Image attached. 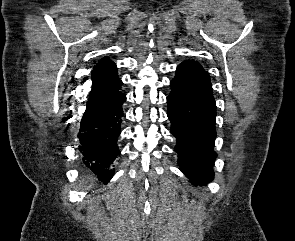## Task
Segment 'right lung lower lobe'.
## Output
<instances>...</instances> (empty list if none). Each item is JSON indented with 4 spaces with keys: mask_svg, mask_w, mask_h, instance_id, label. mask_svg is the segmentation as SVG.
<instances>
[{
    "mask_svg": "<svg viewBox=\"0 0 295 241\" xmlns=\"http://www.w3.org/2000/svg\"><path fill=\"white\" fill-rule=\"evenodd\" d=\"M121 86L119 80L91 90L78 134L83 163L104 184L112 178L111 164L120 154L117 142L126 101Z\"/></svg>",
    "mask_w": 295,
    "mask_h": 241,
    "instance_id": "obj_1",
    "label": "right lung lower lobe"
}]
</instances>
